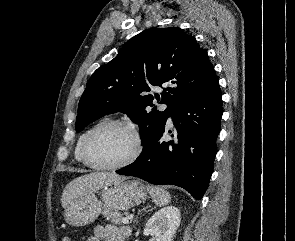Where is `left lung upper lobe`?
Returning <instances> with one entry per match:
<instances>
[{
    "label": "left lung upper lobe",
    "mask_w": 295,
    "mask_h": 241,
    "mask_svg": "<svg viewBox=\"0 0 295 241\" xmlns=\"http://www.w3.org/2000/svg\"><path fill=\"white\" fill-rule=\"evenodd\" d=\"M216 77L207 52L178 27L152 28L130 39L109 63L91 76L78 106L76 131L104 115L123 112L139 125L145 148L176 106ZM163 92L146 95L153 86ZM167 104L151 111L153 100Z\"/></svg>",
    "instance_id": "obj_1"
}]
</instances>
